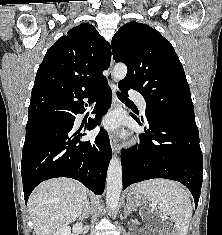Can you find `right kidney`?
Wrapping results in <instances>:
<instances>
[{
  "label": "right kidney",
  "instance_id": "1",
  "mask_svg": "<svg viewBox=\"0 0 222 235\" xmlns=\"http://www.w3.org/2000/svg\"><path fill=\"white\" fill-rule=\"evenodd\" d=\"M54 235H71L70 226H64L60 228Z\"/></svg>",
  "mask_w": 222,
  "mask_h": 235
}]
</instances>
